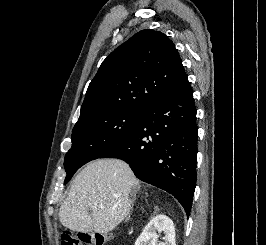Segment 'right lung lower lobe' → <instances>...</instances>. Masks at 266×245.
Masks as SVG:
<instances>
[{
	"label": "right lung lower lobe",
	"mask_w": 266,
	"mask_h": 245,
	"mask_svg": "<svg viewBox=\"0 0 266 245\" xmlns=\"http://www.w3.org/2000/svg\"><path fill=\"white\" fill-rule=\"evenodd\" d=\"M197 130L187 81L153 103L133 132L99 158L124 160L137 178L172 194L189 215L196 186Z\"/></svg>",
	"instance_id": "98d812e1"
}]
</instances>
